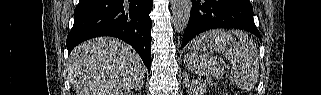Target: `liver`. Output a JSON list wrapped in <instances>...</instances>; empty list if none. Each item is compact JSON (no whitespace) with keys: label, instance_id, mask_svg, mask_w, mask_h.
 Returning <instances> with one entry per match:
<instances>
[{"label":"liver","instance_id":"6515ba94","mask_svg":"<svg viewBox=\"0 0 321 95\" xmlns=\"http://www.w3.org/2000/svg\"><path fill=\"white\" fill-rule=\"evenodd\" d=\"M77 95H127L142 82L145 66L131 46L101 37L77 46L68 60Z\"/></svg>","mask_w":321,"mask_h":95}]
</instances>
